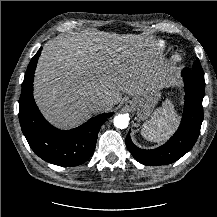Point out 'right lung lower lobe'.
Masks as SVG:
<instances>
[{
	"instance_id": "98d812e1",
	"label": "right lung lower lobe",
	"mask_w": 217,
	"mask_h": 217,
	"mask_svg": "<svg viewBox=\"0 0 217 217\" xmlns=\"http://www.w3.org/2000/svg\"><path fill=\"white\" fill-rule=\"evenodd\" d=\"M42 48L31 59L25 72L19 99V121L32 150L46 162L59 166H77L93 154L98 132L112 113L100 114L69 131L50 125L42 116L33 98V80Z\"/></svg>"
}]
</instances>
